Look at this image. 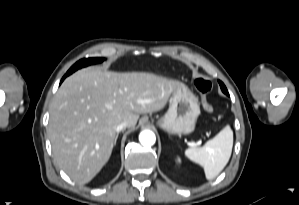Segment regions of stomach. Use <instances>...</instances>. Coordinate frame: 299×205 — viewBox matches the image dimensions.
<instances>
[{
	"label": "stomach",
	"mask_w": 299,
	"mask_h": 205,
	"mask_svg": "<svg viewBox=\"0 0 299 205\" xmlns=\"http://www.w3.org/2000/svg\"><path fill=\"white\" fill-rule=\"evenodd\" d=\"M199 114L197 97L188 87L180 84L173 91L169 109L158 125L169 134H189L194 131Z\"/></svg>",
	"instance_id": "stomach-1"
}]
</instances>
